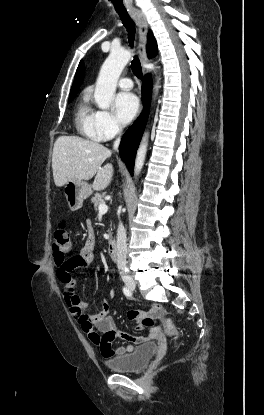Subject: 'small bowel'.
Masks as SVG:
<instances>
[{
    "instance_id": "obj_1",
    "label": "small bowel",
    "mask_w": 264,
    "mask_h": 415,
    "mask_svg": "<svg viewBox=\"0 0 264 415\" xmlns=\"http://www.w3.org/2000/svg\"><path fill=\"white\" fill-rule=\"evenodd\" d=\"M94 250L95 234L94 229L90 224L86 243L75 257L63 265H57V276L64 286L63 298L69 307L70 314L73 319L80 324L82 331L100 348L101 354L104 357H121L131 353L134 350V346L155 339L158 336L159 328H153L148 337L134 336L127 332L119 331L116 328L112 317L108 315L110 311L108 302L102 301V312L96 314L90 310L87 303L80 300L75 292V281L73 280L71 273L74 269L90 267L94 263ZM71 289L73 290V295L68 293ZM150 313L157 318H161L164 315V312L157 306L152 307ZM139 316L138 313L129 311L127 313V321L129 323H134ZM135 329L141 331L143 330V326L137 325ZM99 332L103 333V337H100ZM114 338L126 340L128 341V344L112 349L111 341Z\"/></svg>"
}]
</instances>
